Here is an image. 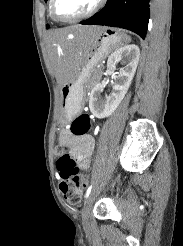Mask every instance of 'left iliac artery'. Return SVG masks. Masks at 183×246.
Listing matches in <instances>:
<instances>
[{
  "mask_svg": "<svg viewBox=\"0 0 183 246\" xmlns=\"http://www.w3.org/2000/svg\"><path fill=\"white\" fill-rule=\"evenodd\" d=\"M92 190V184L88 187L86 194H85V198H88L89 194L91 193Z\"/></svg>",
  "mask_w": 183,
  "mask_h": 246,
  "instance_id": "1",
  "label": "left iliac artery"
}]
</instances>
